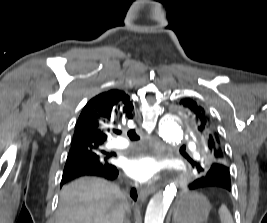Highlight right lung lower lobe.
<instances>
[{"label": "right lung lower lobe", "instance_id": "98d812e1", "mask_svg": "<svg viewBox=\"0 0 267 223\" xmlns=\"http://www.w3.org/2000/svg\"><path fill=\"white\" fill-rule=\"evenodd\" d=\"M118 175H119V171L117 167L114 165H109L103 168L88 167V168L78 170L75 172L63 173L61 186L68 181H71L75 178L82 177V176H96V177H101V178H105L108 180H115L118 177ZM130 195L135 201L137 200V193H136L135 188L131 189Z\"/></svg>", "mask_w": 267, "mask_h": 223}]
</instances>
